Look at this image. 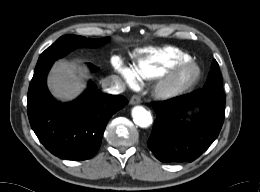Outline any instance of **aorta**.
Instances as JSON below:
<instances>
[{"label":"aorta","instance_id":"762f6f07","mask_svg":"<svg viewBox=\"0 0 260 192\" xmlns=\"http://www.w3.org/2000/svg\"><path fill=\"white\" fill-rule=\"evenodd\" d=\"M132 118L136 125L147 128L152 124L151 113L143 106H135L132 109Z\"/></svg>","mask_w":260,"mask_h":192}]
</instances>
